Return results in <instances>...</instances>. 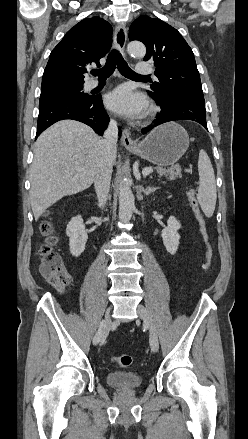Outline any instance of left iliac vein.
Wrapping results in <instances>:
<instances>
[{
    "mask_svg": "<svg viewBox=\"0 0 248 439\" xmlns=\"http://www.w3.org/2000/svg\"><path fill=\"white\" fill-rule=\"evenodd\" d=\"M137 312L144 324L149 328V342L153 352H157L159 349V340L157 331L152 323L151 317L147 309L143 305H138Z\"/></svg>",
    "mask_w": 248,
    "mask_h": 439,
    "instance_id": "left-iliac-vein-1",
    "label": "left iliac vein"
}]
</instances>
